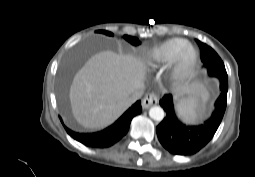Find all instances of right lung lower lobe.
Wrapping results in <instances>:
<instances>
[{
  "label": "right lung lower lobe",
  "instance_id": "right-lung-lower-lobe-1",
  "mask_svg": "<svg viewBox=\"0 0 255 177\" xmlns=\"http://www.w3.org/2000/svg\"><path fill=\"white\" fill-rule=\"evenodd\" d=\"M142 112L141 101L133 104L113 125L97 133H78L65 127L67 133L92 148H107L117 143L129 130L131 120Z\"/></svg>",
  "mask_w": 255,
  "mask_h": 177
}]
</instances>
